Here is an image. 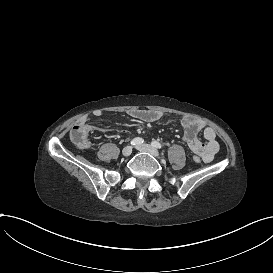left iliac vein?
<instances>
[{
	"label": "left iliac vein",
	"instance_id": "obj_1",
	"mask_svg": "<svg viewBox=\"0 0 273 273\" xmlns=\"http://www.w3.org/2000/svg\"><path fill=\"white\" fill-rule=\"evenodd\" d=\"M136 149L139 150L140 152H148L155 157H159L158 150L152 147L151 145L143 144V145L137 146Z\"/></svg>",
	"mask_w": 273,
	"mask_h": 273
}]
</instances>
